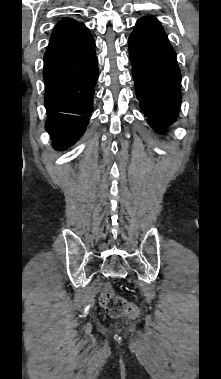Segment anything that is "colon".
I'll return each instance as SVG.
<instances>
[{
    "label": "colon",
    "instance_id": "obj_1",
    "mask_svg": "<svg viewBox=\"0 0 221 379\" xmlns=\"http://www.w3.org/2000/svg\"><path fill=\"white\" fill-rule=\"evenodd\" d=\"M100 304L108 315L114 318L121 316L136 318L139 313L138 308L117 295L110 284L104 285L100 295Z\"/></svg>",
    "mask_w": 221,
    "mask_h": 379
}]
</instances>
